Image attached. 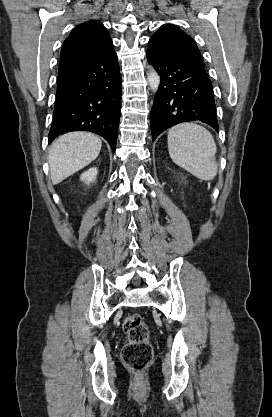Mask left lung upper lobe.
Returning <instances> with one entry per match:
<instances>
[{"label":"left lung upper lobe","mask_w":272,"mask_h":417,"mask_svg":"<svg viewBox=\"0 0 272 417\" xmlns=\"http://www.w3.org/2000/svg\"><path fill=\"white\" fill-rule=\"evenodd\" d=\"M148 49L164 54L179 55L202 62L195 41L177 26L162 25L150 38Z\"/></svg>","instance_id":"1"}]
</instances>
